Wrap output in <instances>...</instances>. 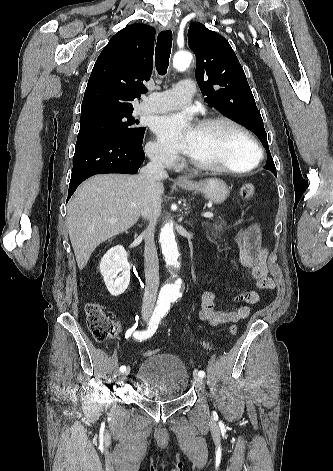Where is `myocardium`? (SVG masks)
I'll return each mask as SVG.
<instances>
[{
  "instance_id": "obj_1",
  "label": "myocardium",
  "mask_w": 333,
  "mask_h": 471,
  "mask_svg": "<svg viewBox=\"0 0 333 471\" xmlns=\"http://www.w3.org/2000/svg\"><path fill=\"white\" fill-rule=\"evenodd\" d=\"M219 123L228 124L234 127L249 140L255 153L252 163L244 168H234V167H230L226 165L202 162L192 156H190L189 158L190 163L199 170L210 171V172H220V173H230V174H245L257 168L262 159V150L255 136L243 124L227 116H213V117L203 119L198 124V127L204 128V127H208V126L219 124Z\"/></svg>"
}]
</instances>
